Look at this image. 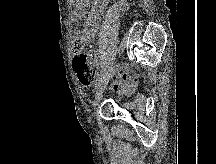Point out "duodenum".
Listing matches in <instances>:
<instances>
[{"mask_svg":"<svg viewBox=\"0 0 216 164\" xmlns=\"http://www.w3.org/2000/svg\"><path fill=\"white\" fill-rule=\"evenodd\" d=\"M93 9L96 12H100L104 6H105V1L106 0H93Z\"/></svg>","mask_w":216,"mask_h":164,"instance_id":"duodenum-1","label":"duodenum"}]
</instances>
